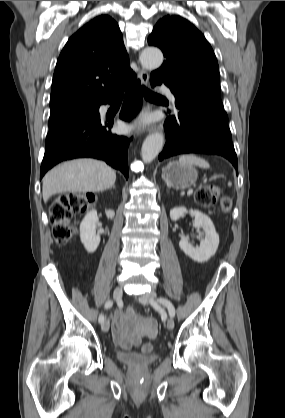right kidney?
Here are the masks:
<instances>
[{"instance_id":"ca27d5eb","label":"right kidney","mask_w":285,"mask_h":418,"mask_svg":"<svg viewBox=\"0 0 285 418\" xmlns=\"http://www.w3.org/2000/svg\"><path fill=\"white\" fill-rule=\"evenodd\" d=\"M98 221L97 211L92 210L80 224V239L88 253L95 252L100 243V236L96 233Z\"/></svg>"}]
</instances>
